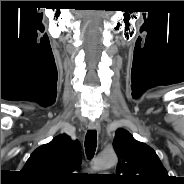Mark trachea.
Segmentation results:
<instances>
[{
	"label": "trachea",
	"instance_id": "obj_1",
	"mask_svg": "<svg viewBox=\"0 0 184 184\" xmlns=\"http://www.w3.org/2000/svg\"><path fill=\"white\" fill-rule=\"evenodd\" d=\"M97 146V132L90 130L87 132L85 137V151L88 159H92Z\"/></svg>",
	"mask_w": 184,
	"mask_h": 184
}]
</instances>
